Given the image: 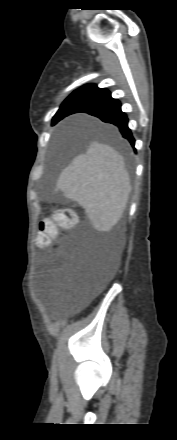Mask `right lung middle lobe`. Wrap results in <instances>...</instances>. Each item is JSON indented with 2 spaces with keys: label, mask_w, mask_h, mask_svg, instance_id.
<instances>
[{
  "label": "right lung middle lobe",
  "mask_w": 177,
  "mask_h": 440,
  "mask_svg": "<svg viewBox=\"0 0 177 440\" xmlns=\"http://www.w3.org/2000/svg\"><path fill=\"white\" fill-rule=\"evenodd\" d=\"M93 98L84 97L72 93L61 105L54 118H64L70 114L76 113L82 108L94 103Z\"/></svg>",
  "instance_id": "1"
}]
</instances>
